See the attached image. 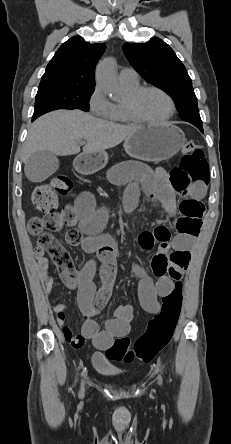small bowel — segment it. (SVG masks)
I'll list each match as a JSON object with an SVG mask.
<instances>
[{
    "label": "small bowel",
    "instance_id": "obj_1",
    "mask_svg": "<svg viewBox=\"0 0 231 444\" xmlns=\"http://www.w3.org/2000/svg\"><path fill=\"white\" fill-rule=\"evenodd\" d=\"M106 177L112 184L127 185L124 197L127 212H131L134 208L140 190L154 202L161 204L170 216L176 213L177 195L202 205L201 199L205 194L203 182L180 186L170 179L162 168L152 171L147 166L135 162H122L111 167ZM68 209L72 213L69 226L77 224L78 228H72L67 233V242L72 246H80L86 253L96 258L87 262L77 277V300L83 315L80 333L75 334L67 324L66 304L53 297L54 283L48 269L49 262L40 250L35 254L37 266L45 293L51 298L52 308L64 339L74 348L82 347L84 342L89 340L97 349L107 350L116 338L129 334L135 318L132 306L119 305L114 310L113 317L105 321L103 328L96 320L111 296L116 275V260L119 257L115 241L110 236L100 233L109 213L106 208H96L92 195L87 192L81 193ZM192 239L193 236L179 234L170 240V235H158L155 231H143L138 236V244L144 250H151L159 244L158 252L151 261L155 281L140 266H134V271L140 278L139 302L146 312L158 313L161 309L159 299L169 295L175 283L182 279L191 260ZM96 260L101 263L102 286L99 289L93 282Z\"/></svg>",
    "mask_w": 231,
    "mask_h": 444
}]
</instances>
